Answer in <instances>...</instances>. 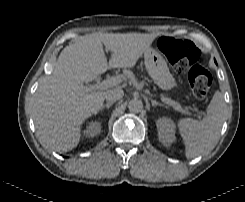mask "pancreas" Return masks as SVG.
I'll use <instances>...</instances> for the list:
<instances>
[{
    "mask_svg": "<svg viewBox=\"0 0 245 202\" xmlns=\"http://www.w3.org/2000/svg\"><path fill=\"white\" fill-rule=\"evenodd\" d=\"M176 103V106L177 107H180L181 109H183L184 111H186L187 112V110L189 109V107H182L178 102H175Z\"/></svg>",
    "mask_w": 245,
    "mask_h": 202,
    "instance_id": "pancreas-1",
    "label": "pancreas"
}]
</instances>
